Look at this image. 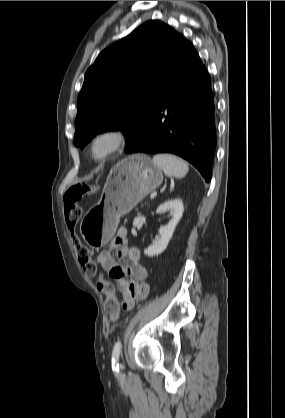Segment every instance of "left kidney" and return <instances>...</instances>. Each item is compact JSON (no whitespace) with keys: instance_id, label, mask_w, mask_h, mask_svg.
<instances>
[{"instance_id":"left-kidney-1","label":"left kidney","mask_w":285,"mask_h":418,"mask_svg":"<svg viewBox=\"0 0 285 418\" xmlns=\"http://www.w3.org/2000/svg\"><path fill=\"white\" fill-rule=\"evenodd\" d=\"M166 210L170 211L172 218L167 225L160 227V237H157L153 244L144 250V254L149 257L159 255L167 248L175 227L183 215V202L180 199L168 200L157 208L156 213Z\"/></svg>"}]
</instances>
